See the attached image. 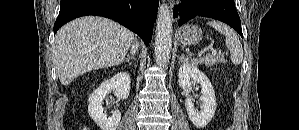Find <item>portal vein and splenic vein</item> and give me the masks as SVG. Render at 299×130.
Wrapping results in <instances>:
<instances>
[{"mask_svg":"<svg viewBox=\"0 0 299 130\" xmlns=\"http://www.w3.org/2000/svg\"><path fill=\"white\" fill-rule=\"evenodd\" d=\"M216 53H217V51L215 49H212V54L215 55Z\"/></svg>","mask_w":299,"mask_h":130,"instance_id":"18ae733b","label":"portal vein and splenic vein"}]
</instances>
